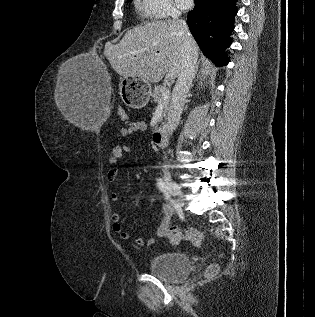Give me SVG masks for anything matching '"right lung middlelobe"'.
<instances>
[{"label":"right lung middle lobe","mask_w":315,"mask_h":317,"mask_svg":"<svg viewBox=\"0 0 315 317\" xmlns=\"http://www.w3.org/2000/svg\"><path fill=\"white\" fill-rule=\"evenodd\" d=\"M128 2H131L132 0H127Z\"/></svg>","instance_id":"obj_1"}]
</instances>
